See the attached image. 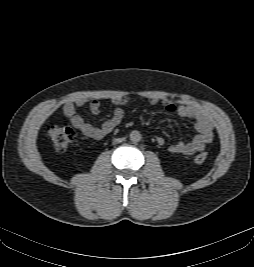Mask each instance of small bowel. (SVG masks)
<instances>
[{"mask_svg": "<svg viewBox=\"0 0 254 267\" xmlns=\"http://www.w3.org/2000/svg\"><path fill=\"white\" fill-rule=\"evenodd\" d=\"M116 106L113 110L112 116L106 120L101 126H93L87 123L82 116H80L76 109L84 104V100L77 99L68 102L63 107V113L68 121L87 137L93 139H102L110 134L122 121L124 116L123 106L128 103L126 96H119L112 99ZM151 105H156L159 102L162 104L166 112L176 113L180 117L192 119L197 134L187 142L179 141L169 146V151L174 154L193 155L196 152L203 151L207 144L213 139V126L209 117L194 104H180L176 105L169 99L159 100L151 97L148 99ZM90 111L94 115H98L101 111V103L99 100H93L90 104ZM159 144H163L162 138L157 139Z\"/></svg>", "mask_w": 254, "mask_h": 267, "instance_id": "c3829d8e", "label": "small bowel"}]
</instances>
